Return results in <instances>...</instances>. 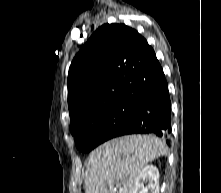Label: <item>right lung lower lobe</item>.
I'll return each instance as SVG.
<instances>
[{
	"instance_id": "obj_1",
	"label": "right lung lower lobe",
	"mask_w": 221,
	"mask_h": 193,
	"mask_svg": "<svg viewBox=\"0 0 221 193\" xmlns=\"http://www.w3.org/2000/svg\"><path fill=\"white\" fill-rule=\"evenodd\" d=\"M135 133L155 134L169 142L171 133V102L168 84L161 72L141 99L140 111L131 122L112 137Z\"/></svg>"
}]
</instances>
